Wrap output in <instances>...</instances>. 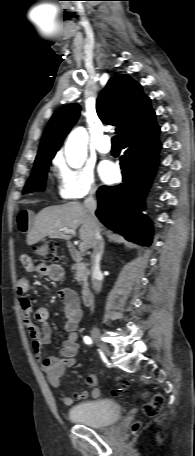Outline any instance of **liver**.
Here are the masks:
<instances>
[{
	"label": "liver",
	"instance_id": "obj_1",
	"mask_svg": "<svg viewBox=\"0 0 195 456\" xmlns=\"http://www.w3.org/2000/svg\"><path fill=\"white\" fill-rule=\"evenodd\" d=\"M79 229V237L88 249L93 248L94 229L89 213L79 202H69L42 209L34 218L33 225L27 234L28 245H34L45 237L69 240L71 236L65 231Z\"/></svg>",
	"mask_w": 195,
	"mask_h": 456
}]
</instances>
